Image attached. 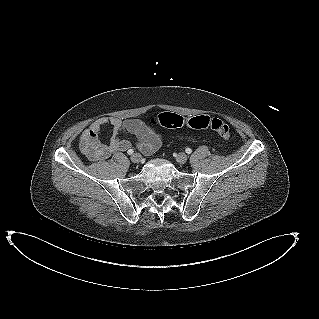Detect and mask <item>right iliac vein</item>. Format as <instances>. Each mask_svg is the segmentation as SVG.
<instances>
[{
	"mask_svg": "<svg viewBox=\"0 0 319 319\" xmlns=\"http://www.w3.org/2000/svg\"><path fill=\"white\" fill-rule=\"evenodd\" d=\"M131 161L135 164H138L141 162V155L139 153H134L132 156H131Z\"/></svg>",
	"mask_w": 319,
	"mask_h": 319,
	"instance_id": "1",
	"label": "right iliac vein"
}]
</instances>
